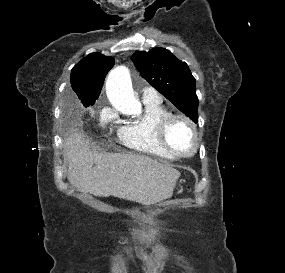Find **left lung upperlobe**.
<instances>
[{
  "label": "left lung upper lobe",
  "mask_w": 285,
  "mask_h": 273,
  "mask_svg": "<svg viewBox=\"0 0 285 273\" xmlns=\"http://www.w3.org/2000/svg\"><path fill=\"white\" fill-rule=\"evenodd\" d=\"M132 61L143 78L181 112L198 122L196 81L185 63L163 48L137 52Z\"/></svg>",
  "instance_id": "1"
}]
</instances>
